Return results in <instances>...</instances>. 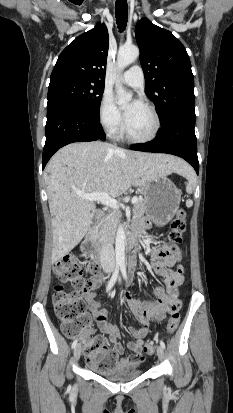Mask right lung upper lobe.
Segmentation results:
<instances>
[{"mask_svg":"<svg viewBox=\"0 0 233 413\" xmlns=\"http://www.w3.org/2000/svg\"><path fill=\"white\" fill-rule=\"evenodd\" d=\"M109 36L104 24L98 23L78 36L60 54L50 82L61 79H80L104 84Z\"/></svg>","mask_w":233,"mask_h":413,"instance_id":"1","label":"right lung upper lobe"}]
</instances>
